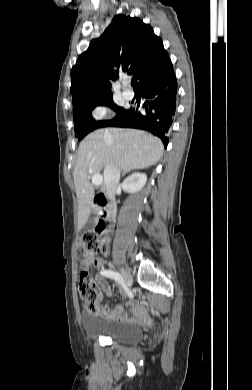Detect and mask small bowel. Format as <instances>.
<instances>
[{
  "label": "small bowel",
  "mask_w": 252,
  "mask_h": 390,
  "mask_svg": "<svg viewBox=\"0 0 252 390\" xmlns=\"http://www.w3.org/2000/svg\"><path fill=\"white\" fill-rule=\"evenodd\" d=\"M91 265L97 267H102L103 260L102 258H92L90 260L84 261L81 263L82 269H88ZM101 274V273H100ZM94 285L97 289H101L108 297H113V292L111 287L106 282L103 275H98L95 277ZM118 297L125 298L126 293L122 290L118 292ZM128 308L131 313H124V309ZM102 316L106 319H111L121 322H144L147 319V313L145 308L142 305L134 304L132 302L120 303L116 306L115 309L111 310L110 307L103 306L101 308Z\"/></svg>",
  "instance_id": "c3829d8e"
}]
</instances>
